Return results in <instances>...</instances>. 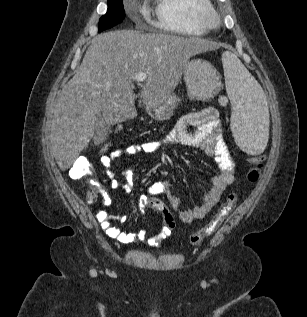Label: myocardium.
I'll use <instances>...</instances> for the list:
<instances>
[{
  "mask_svg": "<svg viewBox=\"0 0 307 317\" xmlns=\"http://www.w3.org/2000/svg\"><path fill=\"white\" fill-rule=\"evenodd\" d=\"M199 20L206 30H213L219 27L221 15L211 4L200 10Z\"/></svg>",
  "mask_w": 307,
  "mask_h": 317,
  "instance_id": "f54148a6",
  "label": "myocardium"
}]
</instances>
